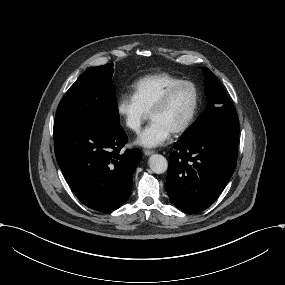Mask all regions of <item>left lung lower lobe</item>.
Segmentation results:
<instances>
[{
  "mask_svg": "<svg viewBox=\"0 0 285 285\" xmlns=\"http://www.w3.org/2000/svg\"><path fill=\"white\" fill-rule=\"evenodd\" d=\"M238 135L236 118L211 125L174 145L166 186L178 209L199 213L218 198L237 164Z\"/></svg>",
  "mask_w": 285,
  "mask_h": 285,
  "instance_id": "0a47b994",
  "label": "left lung lower lobe"
}]
</instances>
